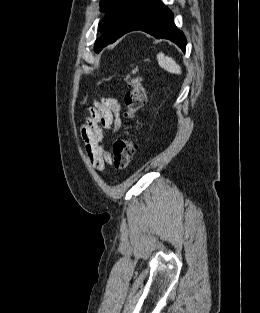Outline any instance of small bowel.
I'll return each mask as SVG.
<instances>
[{
	"instance_id": "1",
	"label": "small bowel",
	"mask_w": 260,
	"mask_h": 313,
	"mask_svg": "<svg viewBox=\"0 0 260 313\" xmlns=\"http://www.w3.org/2000/svg\"><path fill=\"white\" fill-rule=\"evenodd\" d=\"M121 104L117 98L102 97L88 111L85 123L81 127V136L91 166L98 172L112 162L110 150L101 145L103 130L117 132L121 128Z\"/></svg>"
}]
</instances>
